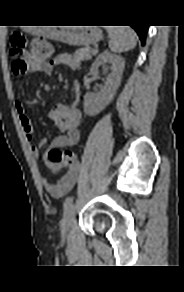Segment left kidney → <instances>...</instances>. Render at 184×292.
Listing matches in <instances>:
<instances>
[{"label": "left kidney", "mask_w": 184, "mask_h": 292, "mask_svg": "<svg viewBox=\"0 0 184 292\" xmlns=\"http://www.w3.org/2000/svg\"><path fill=\"white\" fill-rule=\"evenodd\" d=\"M111 64V73L106 78L105 84L98 93L87 92L84 96V112L89 116L100 113L113 99L121 83V77L125 66L122 57L104 51L95 59L90 68L93 76L98 75L100 66Z\"/></svg>", "instance_id": "5707ae66"}]
</instances>
